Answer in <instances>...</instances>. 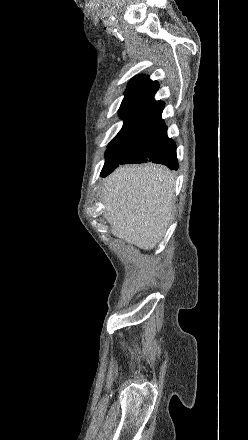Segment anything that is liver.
<instances>
[{
  "mask_svg": "<svg viewBox=\"0 0 248 440\" xmlns=\"http://www.w3.org/2000/svg\"><path fill=\"white\" fill-rule=\"evenodd\" d=\"M173 190V174L164 166L116 169L102 187L105 217L112 234L141 249H153L171 221Z\"/></svg>",
  "mask_w": 248,
  "mask_h": 440,
  "instance_id": "1",
  "label": "liver"
}]
</instances>
